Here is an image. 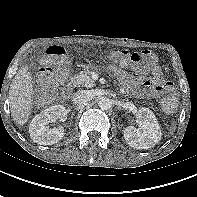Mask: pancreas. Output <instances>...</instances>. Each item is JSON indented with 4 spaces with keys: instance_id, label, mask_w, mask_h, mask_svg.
I'll return each mask as SVG.
<instances>
[{
    "instance_id": "obj_1",
    "label": "pancreas",
    "mask_w": 197,
    "mask_h": 197,
    "mask_svg": "<svg viewBox=\"0 0 197 197\" xmlns=\"http://www.w3.org/2000/svg\"><path fill=\"white\" fill-rule=\"evenodd\" d=\"M70 86L91 88L95 86V81L91 79L89 72H81L71 78Z\"/></svg>"
}]
</instances>
